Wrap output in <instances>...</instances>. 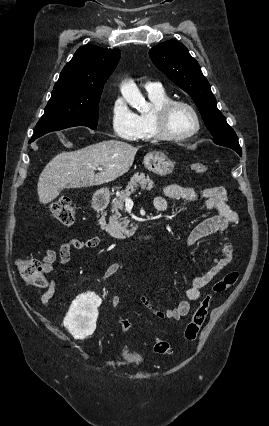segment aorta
I'll list each match as a JSON object with an SVG mask.
<instances>
[{"label":"aorta","instance_id":"obj_1","mask_svg":"<svg viewBox=\"0 0 269 426\" xmlns=\"http://www.w3.org/2000/svg\"><path fill=\"white\" fill-rule=\"evenodd\" d=\"M121 94L129 103V105H131L137 111L141 113L149 111L150 104L145 101L139 88L133 81H127L122 84Z\"/></svg>","mask_w":269,"mask_h":426}]
</instances>
